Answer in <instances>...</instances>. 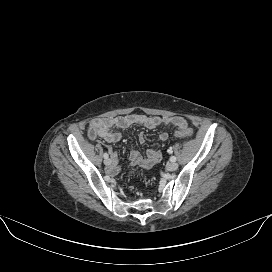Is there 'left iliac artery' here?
I'll return each instance as SVG.
<instances>
[{
  "mask_svg": "<svg viewBox=\"0 0 272 272\" xmlns=\"http://www.w3.org/2000/svg\"><path fill=\"white\" fill-rule=\"evenodd\" d=\"M167 152H168V153H172V149L169 148V149L167 150ZM170 161H171V162H175V161H176V157H175V156H171V157H170Z\"/></svg>",
  "mask_w": 272,
  "mask_h": 272,
  "instance_id": "1",
  "label": "left iliac artery"
}]
</instances>
